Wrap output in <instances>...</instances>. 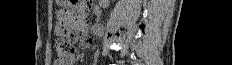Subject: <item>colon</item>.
<instances>
[{"label": "colon", "mask_w": 232, "mask_h": 65, "mask_svg": "<svg viewBox=\"0 0 232 65\" xmlns=\"http://www.w3.org/2000/svg\"><path fill=\"white\" fill-rule=\"evenodd\" d=\"M74 51L73 44L70 40H65V38H59L56 41V56L58 60H63Z\"/></svg>", "instance_id": "5ec220e1"}]
</instances>
